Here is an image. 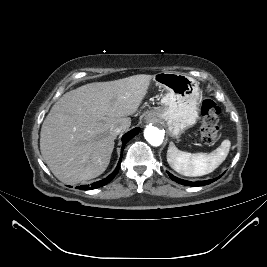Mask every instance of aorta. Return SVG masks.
<instances>
[{
  "label": "aorta",
  "instance_id": "aorta-1",
  "mask_svg": "<svg viewBox=\"0 0 267 267\" xmlns=\"http://www.w3.org/2000/svg\"><path fill=\"white\" fill-rule=\"evenodd\" d=\"M144 137L153 146H159L164 139V131L153 125H147L144 130Z\"/></svg>",
  "mask_w": 267,
  "mask_h": 267
}]
</instances>
